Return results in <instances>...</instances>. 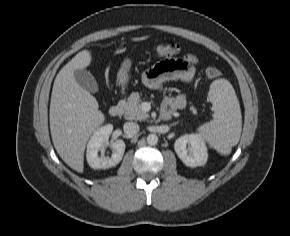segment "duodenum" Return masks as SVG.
Here are the masks:
<instances>
[{
    "label": "duodenum",
    "instance_id": "obj_1",
    "mask_svg": "<svg viewBox=\"0 0 290 236\" xmlns=\"http://www.w3.org/2000/svg\"><path fill=\"white\" fill-rule=\"evenodd\" d=\"M123 113V105L122 104H115L110 107L109 114L112 117L120 116ZM164 116L166 119H169L171 117V111H168L164 113Z\"/></svg>",
    "mask_w": 290,
    "mask_h": 236
}]
</instances>
